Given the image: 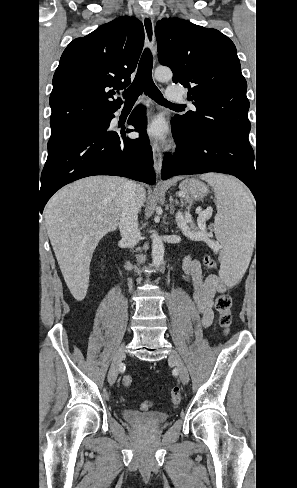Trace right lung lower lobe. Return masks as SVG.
Wrapping results in <instances>:
<instances>
[{
    "label": "right lung lower lobe",
    "instance_id": "right-lung-lower-lobe-1",
    "mask_svg": "<svg viewBox=\"0 0 297 488\" xmlns=\"http://www.w3.org/2000/svg\"><path fill=\"white\" fill-rule=\"evenodd\" d=\"M112 118L110 115L98 126L72 133L48 149L41 174L38 211L43 212L58 189L87 176L115 175L155 183L152 150L145 134L144 108L135 109L128 120V124L141 133L137 139L125 136L131 129L110 130Z\"/></svg>",
    "mask_w": 297,
    "mask_h": 488
}]
</instances>
